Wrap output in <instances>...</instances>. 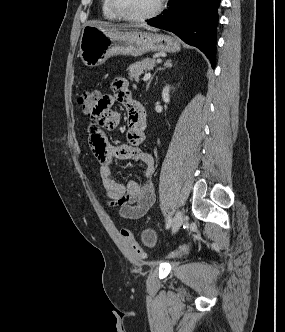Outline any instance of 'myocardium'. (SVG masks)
Segmentation results:
<instances>
[{"mask_svg": "<svg viewBox=\"0 0 285 332\" xmlns=\"http://www.w3.org/2000/svg\"><path fill=\"white\" fill-rule=\"evenodd\" d=\"M164 2H165V0H159L156 8L152 12H150L146 15H142V16H131V15L125 14L119 8L116 0H109V5H110V8L112 9V11L115 13V15L119 19H122L125 21H130V22H144V21H148V20L153 19L156 16H158L161 13V11L163 10Z\"/></svg>", "mask_w": 285, "mask_h": 332, "instance_id": "myocardium-1", "label": "myocardium"}]
</instances>
